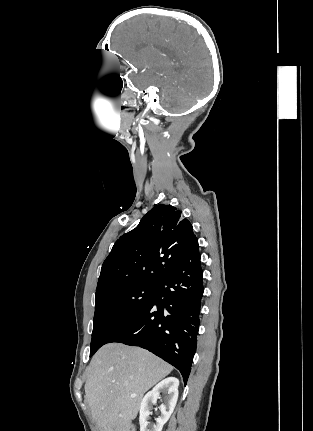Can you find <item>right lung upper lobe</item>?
<instances>
[{
  "mask_svg": "<svg viewBox=\"0 0 313 431\" xmlns=\"http://www.w3.org/2000/svg\"><path fill=\"white\" fill-rule=\"evenodd\" d=\"M196 239L193 227L171 205H156L121 236L104 261L96 289L100 297L139 285H158Z\"/></svg>",
  "mask_w": 313,
  "mask_h": 431,
  "instance_id": "1",
  "label": "right lung upper lobe"
}]
</instances>
